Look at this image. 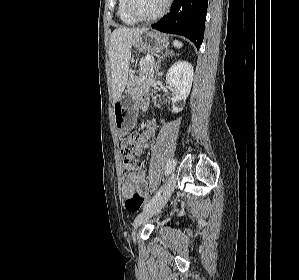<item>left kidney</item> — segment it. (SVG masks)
Instances as JSON below:
<instances>
[{"label":"left kidney","instance_id":"1","mask_svg":"<svg viewBox=\"0 0 299 280\" xmlns=\"http://www.w3.org/2000/svg\"><path fill=\"white\" fill-rule=\"evenodd\" d=\"M193 72L192 65L186 61H177L167 72L166 82L174 88V97L172 98L174 113L182 111L184 107V102L191 90Z\"/></svg>","mask_w":299,"mask_h":280}]
</instances>
